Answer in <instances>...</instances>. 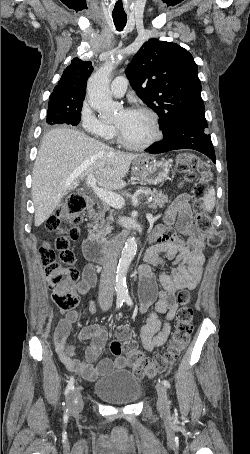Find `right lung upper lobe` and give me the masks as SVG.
Returning a JSON list of instances; mask_svg holds the SVG:
<instances>
[{
	"instance_id": "obj_1",
	"label": "right lung upper lobe",
	"mask_w": 250,
	"mask_h": 454,
	"mask_svg": "<svg viewBox=\"0 0 250 454\" xmlns=\"http://www.w3.org/2000/svg\"><path fill=\"white\" fill-rule=\"evenodd\" d=\"M92 71L93 67L90 61H82L78 57L74 58L64 70L50 98L59 97L70 100L84 98L87 78Z\"/></svg>"
}]
</instances>
